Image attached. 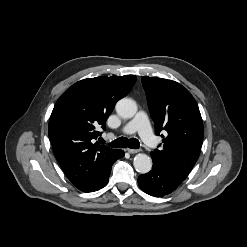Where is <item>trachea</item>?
Returning <instances> with one entry per match:
<instances>
[{
    "label": "trachea",
    "mask_w": 247,
    "mask_h": 247,
    "mask_svg": "<svg viewBox=\"0 0 247 247\" xmlns=\"http://www.w3.org/2000/svg\"><path fill=\"white\" fill-rule=\"evenodd\" d=\"M109 146H111L113 148L129 147L131 149H138L140 147V142L135 138L127 139L124 137H120V138L112 141L111 143H109Z\"/></svg>",
    "instance_id": "1"
}]
</instances>
